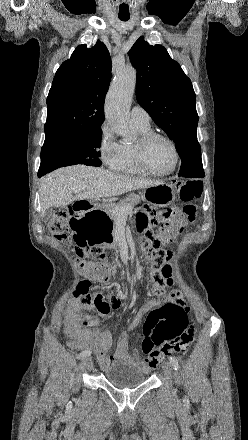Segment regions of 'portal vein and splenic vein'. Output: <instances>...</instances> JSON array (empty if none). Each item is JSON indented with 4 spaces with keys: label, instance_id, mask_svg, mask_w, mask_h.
<instances>
[{
    "label": "portal vein and splenic vein",
    "instance_id": "18ae733b",
    "mask_svg": "<svg viewBox=\"0 0 248 440\" xmlns=\"http://www.w3.org/2000/svg\"><path fill=\"white\" fill-rule=\"evenodd\" d=\"M80 190L81 189L75 190L74 192H78ZM129 211H130L129 206H127L126 208H123V209H118V208L113 209V213L118 217L119 220H126L127 214L129 213Z\"/></svg>",
    "mask_w": 248,
    "mask_h": 440
}]
</instances>
